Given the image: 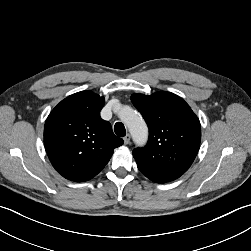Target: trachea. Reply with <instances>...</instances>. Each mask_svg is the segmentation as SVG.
Returning a JSON list of instances; mask_svg holds the SVG:
<instances>
[{
  "label": "trachea",
  "mask_w": 251,
  "mask_h": 251,
  "mask_svg": "<svg viewBox=\"0 0 251 251\" xmlns=\"http://www.w3.org/2000/svg\"><path fill=\"white\" fill-rule=\"evenodd\" d=\"M114 131L116 135L123 137L126 135V129L123 123L117 122L114 126Z\"/></svg>",
  "instance_id": "1"
}]
</instances>
